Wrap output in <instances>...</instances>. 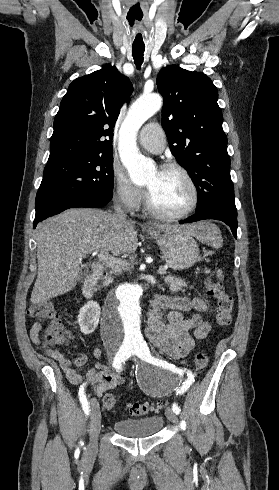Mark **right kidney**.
<instances>
[{"label": "right kidney", "instance_id": "obj_1", "mask_svg": "<svg viewBox=\"0 0 279 490\" xmlns=\"http://www.w3.org/2000/svg\"><path fill=\"white\" fill-rule=\"evenodd\" d=\"M101 314V308L97 302H87L80 308L78 324L82 334H92L96 330Z\"/></svg>", "mask_w": 279, "mask_h": 490}]
</instances>
